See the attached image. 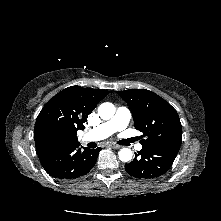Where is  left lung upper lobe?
<instances>
[{
  "label": "left lung upper lobe",
  "mask_w": 221,
  "mask_h": 221,
  "mask_svg": "<svg viewBox=\"0 0 221 221\" xmlns=\"http://www.w3.org/2000/svg\"><path fill=\"white\" fill-rule=\"evenodd\" d=\"M132 112L134 126L143 135L142 145L167 148L178 152L182 126L176 110L163 98L146 89L117 91Z\"/></svg>",
  "instance_id": "1"
}]
</instances>
